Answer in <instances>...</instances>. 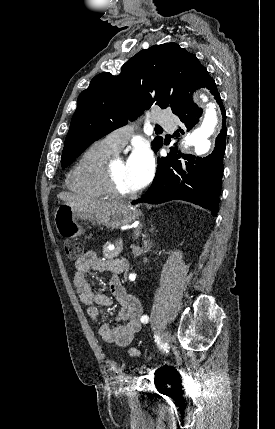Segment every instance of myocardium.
Here are the masks:
<instances>
[{
    "label": "myocardium",
    "instance_id": "1",
    "mask_svg": "<svg viewBox=\"0 0 275 429\" xmlns=\"http://www.w3.org/2000/svg\"><path fill=\"white\" fill-rule=\"evenodd\" d=\"M105 185L108 196L117 199H130L137 196L138 191L125 193L117 187L114 174L112 171L111 163H108L105 168Z\"/></svg>",
    "mask_w": 275,
    "mask_h": 429
}]
</instances>
